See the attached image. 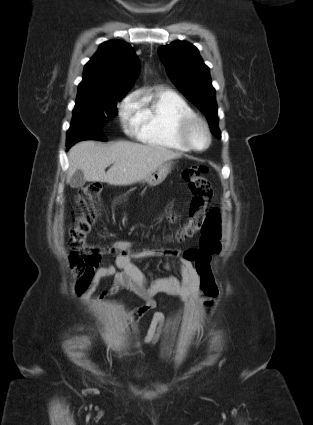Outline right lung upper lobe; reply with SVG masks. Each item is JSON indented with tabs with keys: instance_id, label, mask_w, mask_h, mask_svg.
Returning <instances> with one entry per match:
<instances>
[{
	"instance_id": "right-lung-upper-lobe-1",
	"label": "right lung upper lobe",
	"mask_w": 313,
	"mask_h": 425,
	"mask_svg": "<svg viewBox=\"0 0 313 425\" xmlns=\"http://www.w3.org/2000/svg\"><path fill=\"white\" fill-rule=\"evenodd\" d=\"M138 71L139 61L128 43L120 40L106 41L84 67L77 100L117 92L127 94Z\"/></svg>"
}]
</instances>
